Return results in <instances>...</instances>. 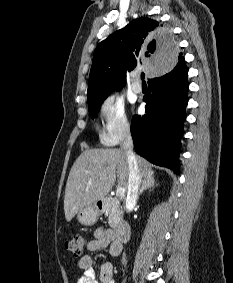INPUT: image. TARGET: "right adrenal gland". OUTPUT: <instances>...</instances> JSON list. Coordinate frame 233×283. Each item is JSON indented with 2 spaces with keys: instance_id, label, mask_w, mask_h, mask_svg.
Instances as JSON below:
<instances>
[{
  "instance_id": "obj_1",
  "label": "right adrenal gland",
  "mask_w": 233,
  "mask_h": 283,
  "mask_svg": "<svg viewBox=\"0 0 233 283\" xmlns=\"http://www.w3.org/2000/svg\"><path fill=\"white\" fill-rule=\"evenodd\" d=\"M156 186H158V184H156L154 176L147 178L143 181L142 186L138 192L137 198H139V196L143 193L144 190L154 189Z\"/></svg>"
}]
</instances>
